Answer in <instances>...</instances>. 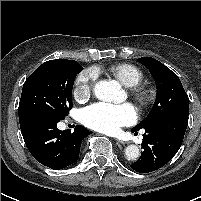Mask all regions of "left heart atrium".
<instances>
[{"label": "left heart atrium", "mask_w": 201, "mask_h": 201, "mask_svg": "<svg viewBox=\"0 0 201 201\" xmlns=\"http://www.w3.org/2000/svg\"><path fill=\"white\" fill-rule=\"evenodd\" d=\"M81 118L89 128L112 134L122 126L133 124L137 114L134 107L128 103L115 105L100 102L85 108Z\"/></svg>", "instance_id": "1"}]
</instances>
